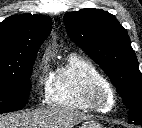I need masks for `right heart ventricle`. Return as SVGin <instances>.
<instances>
[{"label": "right heart ventricle", "mask_w": 142, "mask_h": 128, "mask_svg": "<svg viewBox=\"0 0 142 128\" xmlns=\"http://www.w3.org/2000/svg\"><path fill=\"white\" fill-rule=\"evenodd\" d=\"M109 83L102 72L87 58L70 55L67 62L53 72L47 97L48 104L72 110H93L85 100L90 82Z\"/></svg>", "instance_id": "e07e8e85"}]
</instances>
